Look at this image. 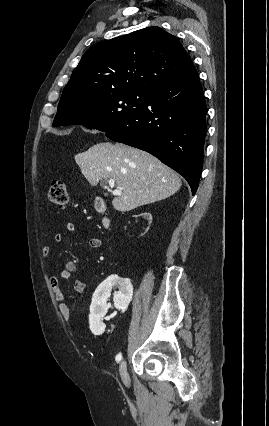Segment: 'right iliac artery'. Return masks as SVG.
Instances as JSON below:
<instances>
[{
	"mask_svg": "<svg viewBox=\"0 0 269 426\" xmlns=\"http://www.w3.org/2000/svg\"><path fill=\"white\" fill-rule=\"evenodd\" d=\"M121 359H122V354H121V353L117 354V356H116V361H117V362H120V361H121Z\"/></svg>",
	"mask_w": 269,
	"mask_h": 426,
	"instance_id": "1",
	"label": "right iliac artery"
}]
</instances>
